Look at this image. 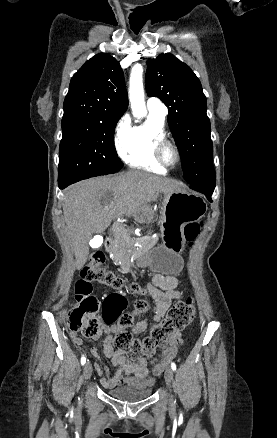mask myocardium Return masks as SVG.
Masks as SVG:
<instances>
[{"instance_id": "1", "label": "myocardium", "mask_w": 277, "mask_h": 438, "mask_svg": "<svg viewBox=\"0 0 277 438\" xmlns=\"http://www.w3.org/2000/svg\"><path fill=\"white\" fill-rule=\"evenodd\" d=\"M171 148L175 153L174 163H169L166 159V150ZM154 153L157 162L165 169H173L180 161V151L175 142L168 138L159 140L154 146Z\"/></svg>"}]
</instances>
